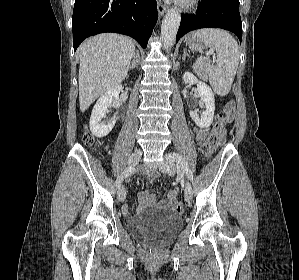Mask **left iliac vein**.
Segmentation results:
<instances>
[{
  "label": "left iliac vein",
  "mask_w": 299,
  "mask_h": 280,
  "mask_svg": "<svg viewBox=\"0 0 299 280\" xmlns=\"http://www.w3.org/2000/svg\"><path fill=\"white\" fill-rule=\"evenodd\" d=\"M160 170L163 173H166L168 175H174L175 174V170H176L175 164H174V162L171 159L168 158V155L165 156V160L161 164ZM183 186H184L185 200L187 202H189V201H191L192 194H193L192 186L189 183V181H187V180L184 181Z\"/></svg>",
  "instance_id": "4c4485c4"
}]
</instances>
